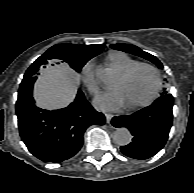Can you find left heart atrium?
<instances>
[{"label": "left heart atrium", "instance_id": "39dd6f15", "mask_svg": "<svg viewBox=\"0 0 194 193\" xmlns=\"http://www.w3.org/2000/svg\"><path fill=\"white\" fill-rule=\"evenodd\" d=\"M95 104L102 110L112 111L124 106L125 102L120 90L114 89L98 97Z\"/></svg>", "mask_w": 194, "mask_h": 193}]
</instances>
